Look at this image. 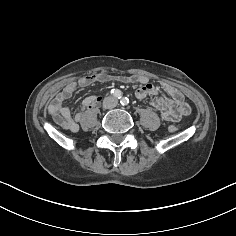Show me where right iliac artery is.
Listing matches in <instances>:
<instances>
[{
	"instance_id": "82829eb1",
	"label": "right iliac artery",
	"mask_w": 236,
	"mask_h": 236,
	"mask_svg": "<svg viewBox=\"0 0 236 236\" xmlns=\"http://www.w3.org/2000/svg\"><path fill=\"white\" fill-rule=\"evenodd\" d=\"M111 95L117 99H120L122 97V92L118 89H112Z\"/></svg>"
}]
</instances>
